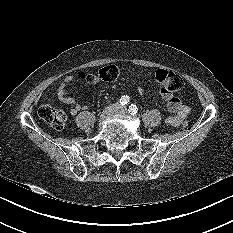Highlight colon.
<instances>
[{"label":"colon","mask_w":233,"mask_h":233,"mask_svg":"<svg viewBox=\"0 0 233 233\" xmlns=\"http://www.w3.org/2000/svg\"><path fill=\"white\" fill-rule=\"evenodd\" d=\"M119 74V67L110 64L100 68L96 73L81 74V77L91 84H96L101 81L114 82L119 77ZM155 82L161 90L171 94L181 90L184 84L180 75L165 69H158L155 72ZM38 115L52 128L57 130L62 129L67 121L66 112L62 108L49 104L42 105L38 109ZM183 126H187V122H184Z\"/></svg>","instance_id":"5ec220e1"}]
</instances>
